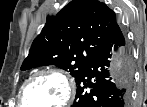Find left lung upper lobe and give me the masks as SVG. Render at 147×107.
<instances>
[{"label": "left lung upper lobe", "instance_id": "5c2ea615", "mask_svg": "<svg viewBox=\"0 0 147 107\" xmlns=\"http://www.w3.org/2000/svg\"><path fill=\"white\" fill-rule=\"evenodd\" d=\"M117 24L116 15L98 0H73L48 17L34 39L21 70L55 65L78 79Z\"/></svg>", "mask_w": 147, "mask_h": 107}]
</instances>
